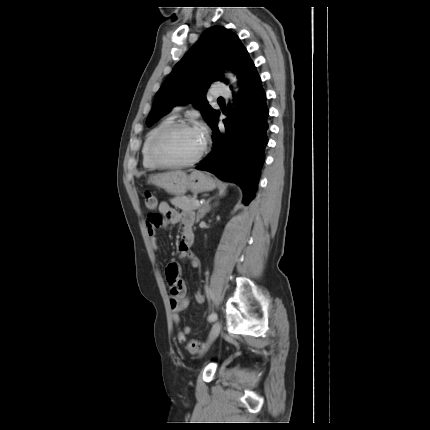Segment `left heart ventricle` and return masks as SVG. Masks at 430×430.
<instances>
[{"label":"left heart ventricle","instance_id":"1","mask_svg":"<svg viewBox=\"0 0 430 430\" xmlns=\"http://www.w3.org/2000/svg\"><path fill=\"white\" fill-rule=\"evenodd\" d=\"M203 145L202 138L195 128L179 129L159 144L158 153L166 160L186 161L198 155Z\"/></svg>","mask_w":430,"mask_h":430}]
</instances>
